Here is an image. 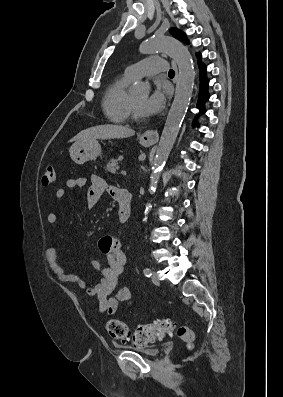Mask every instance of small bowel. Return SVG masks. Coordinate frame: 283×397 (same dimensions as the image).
Returning <instances> with one entry per match:
<instances>
[{"mask_svg":"<svg viewBox=\"0 0 283 397\" xmlns=\"http://www.w3.org/2000/svg\"><path fill=\"white\" fill-rule=\"evenodd\" d=\"M90 187L87 192V205L90 209L94 208L101 199L104 192H108L115 201L123 192L122 189L108 186L105 180L98 176L90 177ZM87 178L78 177L66 181V187L69 189L84 187ZM65 197V190L59 188L55 191V199L62 200ZM49 224L58 222V215L51 212L47 215ZM100 251L107 256V264L102 266L98 260H91L92 268L100 270L102 277L94 285L88 286L87 282L80 275L68 273L58 262V250L54 245H49L46 249V261L51 272L62 283L76 284L89 296L98 298V311L101 314L113 315L118 309L120 302H128L131 308L135 301L133 300V292L129 287H120V278L126 264V254L122 248L121 242L115 235H106L99 240Z\"/></svg>","mask_w":283,"mask_h":397,"instance_id":"small-bowel-1","label":"small bowel"}]
</instances>
